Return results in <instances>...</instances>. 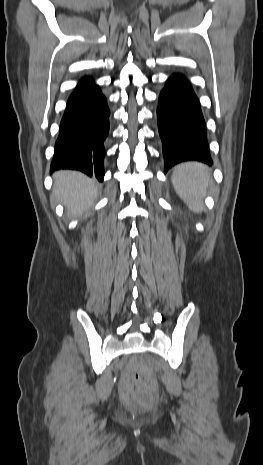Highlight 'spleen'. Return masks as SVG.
<instances>
[{"label":"spleen","mask_w":263,"mask_h":465,"mask_svg":"<svg viewBox=\"0 0 263 465\" xmlns=\"http://www.w3.org/2000/svg\"><path fill=\"white\" fill-rule=\"evenodd\" d=\"M212 182L208 168L198 162L182 163L174 168L172 184L177 194L194 212L202 210V195Z\"/></svg>","instance_id":"obj_1"}]
</instances>
